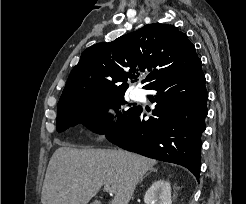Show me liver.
<instances>
[{"instance_id":"6515ba94","label":"liver","mask_w":246,"mask_h":204,"mask_svg":"<svg viewBox=\"0 0 246 204\" xmlns=\"http://www.w3.org/2000/svg\"><path fill=\"white\" fill-rule=\"evenodd\" d=\"M157 162L116 149L59 147L42 188V204H87L104 185L113 187L109 204H128L135 187Z\"/></svg>"}]
</instances>
